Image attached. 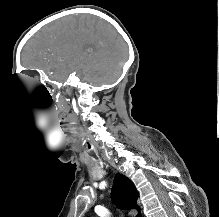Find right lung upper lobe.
<instances>
[{
	"label": "right lung upper lobe",
	"mask_w": 219,
	"mask_h": 217,
	"mask_svg": "<svg viewBox=\"0 0 219 217\" xmlns=\"http://www.w3.org/2000/svg\"><path fill=\"white\" fill-rule=\"evenodd\" d=\"M138 191L131 180L126 176L117 174L111 192V199L114 204L123 210H138L137 217H141L140 208L137 205Z\"/></svg>",
	"instance_id": "right-lung-upper-lobe-1"
}]
</instances>
